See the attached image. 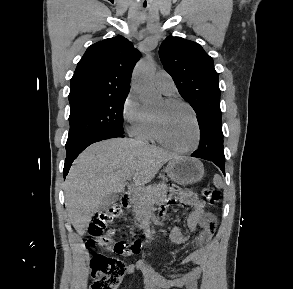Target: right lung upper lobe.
<instances>
[{
  "label": "right lung upper lobe",
  "instance_id": "obj_1",
  "mask_svg": "<svg viewBox=\"0 0 293 289\" xmlns=\"http://www.w3.org/2000/svg\"><path fill=\"white\" fill-rule=\"evenodd\" d=\"M139 57L133 44L120 35L89 46L71 78L69 101L128 94Z\"/></svg>",
  "mask_w": 293,
  "mask_h": 289
}]
</instances>
